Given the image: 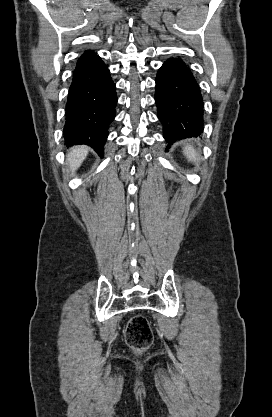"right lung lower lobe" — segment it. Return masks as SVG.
<instances>
[{
  "label": "right lung lower lobe",
  "mask_w": 272,
  "mask_h": 417,
  "mask_svg": "<svg viewBox=\"0 0 272 417\" xmlns=\"http://www.w3.org/2000/svg\"><path fill=\"white\" fill-rule=\"evenodd\" d=\"M116 103L115 84L107 66L94 51H85L77 62L67 98L65 144H86L102 156Z\"/></svg>",
  "instance_id": "98d812e1"
}]
</instances>
